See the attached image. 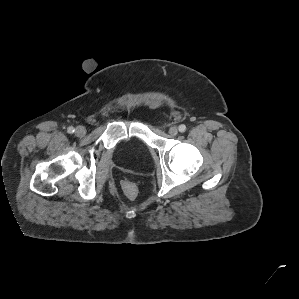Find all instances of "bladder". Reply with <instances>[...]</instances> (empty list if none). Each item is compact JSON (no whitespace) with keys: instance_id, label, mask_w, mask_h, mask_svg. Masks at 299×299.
I'll return each mask as SVG.
<instances>
[{"instance_id":"1","label":"bladder","mask_w":299,"mask_h":299,"mask_svg":"<svg viewBox=\"0 0 299 299\" xmlns=\"http://www.w3.org/2000/svg\"><path fill=\"white\" fill-rule=\"evenodd\" d=\"M117 151L121 157V162L128 167L137 166L149 154L146 144L138 138L120 142L117 146Z\"/></svg>"}]
</instances>
